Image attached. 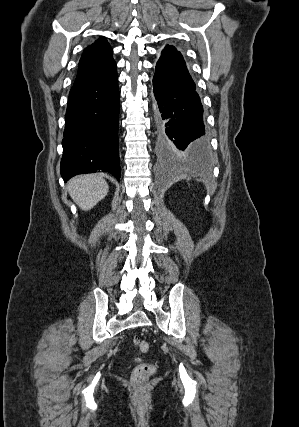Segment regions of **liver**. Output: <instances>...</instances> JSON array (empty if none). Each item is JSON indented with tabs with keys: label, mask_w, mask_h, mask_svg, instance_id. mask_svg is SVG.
<instances>
[{
	"label": "liver",
	"mask_w": 299,
	"mask_h": 427,
	"mask_svg": "<svg viewBox=\"0 0 299 427\" xmlns=\"http://www.w3.org/2000/svg\"><path fill=\"white\" fill-rule=\"evenodd\" d=\"M68 192L82 210H90L108 193L109 186L97 174L77 176L68 182Z\"/></svg>",
	"instance_id": "1"
}]
</instances>
